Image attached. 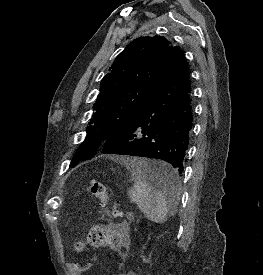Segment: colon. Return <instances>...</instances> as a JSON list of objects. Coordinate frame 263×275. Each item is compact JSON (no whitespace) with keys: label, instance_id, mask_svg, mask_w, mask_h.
I'll list each match as a JSON object with an SVG mask.
<instances>
[{"label":"colon","instance_id":"colon-1","mask_svg":"<svg viewBox=\"0 0 263 275\" xmlns=\"http://www.w3.org/2000/svg\"><path fill=\"white\" fill-rule=\"evenodd\" d=\"M87 190L97 199L101 207H107L110 205V197L102 182L96 180L90 181ZM113 214L119 215L116 206L113 207ZM117 243V235L110 227L96 226L88 232L83 240H79L75 243L74 249L77 252H81L87 247L116 246ZM91 266L92 263L88 261H79L75 263V267L79 272H85L90 269Z\"/></svg>","mask_w":263,"mask_h":275}]
</instances>
